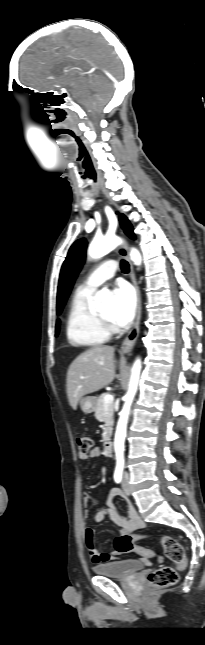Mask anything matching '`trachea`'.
Wrapping results in <instances>:
<instances>
[{"mask_svg":"<svg viewBox=\"0 0 205 645\" xmlns=\"http://www.w3.org/2000/svg\"><path fill=\"white\" fill-rule=\"evenodd\" d=\"M120 266L123 273L129 272V264L126 260H122Z\"/></svg>","mask_w":205,"mask_h":645,"instance_id":"3493384b","label":"trachea"}]
</instances>
